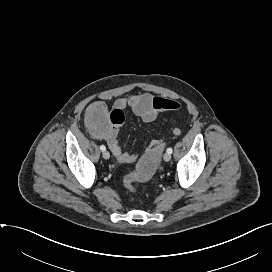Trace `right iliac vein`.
<instances>
[{
  "label": "right iliac vein",
  "mask_w": 272,
  "mask_h": 272,
  "mask_svg": "<svg viewBox=\"0 0 272 272\" xmlns=\"http://www.w3.org/2000/svg\"><path fill=\"white\" fill-rule=\"evenodd\" d=\"M103 158L104 159H109L110 158V153L108 151H104L103 154H102Z\"/></svg>",
  "instance_id": "63e3f726"
}]
</instances>
